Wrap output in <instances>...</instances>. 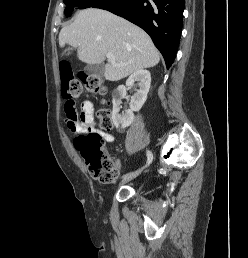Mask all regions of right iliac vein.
<instances>
[{
  "label": "right iliac vein",
  "mask_w": 248,
  "mask_h": 258,
  "mask_svg": "<svg viewBox=\"0 0 248 258\" xmlns=\"http://www.w3.org/2000/svg\"><path fill=\"white\" fill-rule=\"evenodd\" d=\"M141 173V171L135 172L131 175H128L127 177H125L120 184H124L127 182H130L131 180H133L134 178H136L139 174Z\"/></svg>",
  "instance_id": "63e3f726"
}]
</instances>
